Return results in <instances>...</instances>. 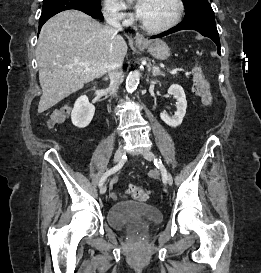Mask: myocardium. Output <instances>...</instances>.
<instances>
[{"mask_svg": "<svg viewBox=\"0 0 261 273\" xmlns=\"http://www.w3.org/2000/svg\"><path fill=\"white\" fill-rule=\"evenodd\" d=\"M174 3L176 4V13L173 17V19L161 26H157V27H153V26H149L146 23H144L140 18H139V22L141 27L151 33H162L165 32L169 29H171L172 27H174L175 25H177L184 13V3L182 0H174Z\"/></svg>", "mask_w": 261, "mask_h": 273, "instance_id": "obj_1", "label": "myocardium"}]
</instances>
